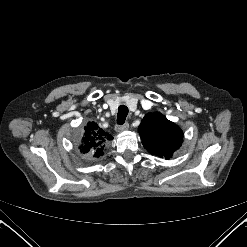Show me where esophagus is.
Instances as JSON below:
<instances>
[{"instance_id":"obj_1","label":"esophagus","mask_w":247,"mask_h":247,"mask_svg":"<svg viewBox=\"0 0 247 247\" xmlns=\"http://www.w3.org/2000/svg\"><path fill=\"white\" fill-rule=\"evenodd\" d=\"M129 129V124L128 123H124V124H122V125H117L116 127H115V130H116V132H123V131H126V130H128Z\"/></svg>"}]
</instances>
